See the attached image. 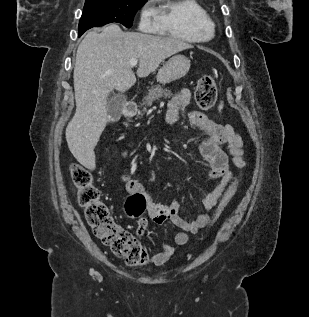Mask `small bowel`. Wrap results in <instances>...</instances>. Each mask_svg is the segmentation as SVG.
Listing matches in <instances>:
<instances>
[{
  "label": "small bowel",
  "mask_w": 309,
  "mask_h": 317,
  "mask_svg": "<svg viewBox=\"0 0 309 317\" xmlns=\"http://www.w3.org/2000/svg\"><path fill=\"white\" fill-rule=\"evenodd\" d=\"M190 100L188 89L179 90L168 103L167 122L173 124L177 121L179 111L185 107ZM189 123L197 128L202 139L199 143V152L206 161L208 167L207 181L217 182L213 189L207 193L203 199V205L208 213H201L193 220H185L179 216L180 203L172 201L162 205L148 198L146 203L147 217L155 223L162 224L170 221L181 229L175 236L173 245H165L161 252L150 256V261L155 265L165 263L174 254L178 247L185 245L189 240V235L197 233L200 229L207 226L214 214L217 212V205L222 199L224 192L233 186L231 195L236 190L237 182L245 167L243 141L241 136L235 132L229 124H219L206 115L192 111L188 113ZM133 145L130 144L124 151L123 156L127 157ZM229 156L236 166V173L229 170ZM126 190L132 195L144 193L142 184L133 180L130 171L122 177ZM147 217H139L138 232L143 234L147 228Z\"/></svg>",
  "instance_id": "small-bowel-1"
}]
</instances>
